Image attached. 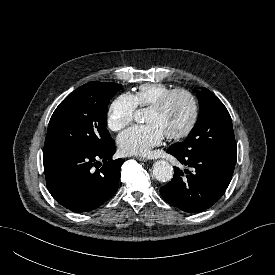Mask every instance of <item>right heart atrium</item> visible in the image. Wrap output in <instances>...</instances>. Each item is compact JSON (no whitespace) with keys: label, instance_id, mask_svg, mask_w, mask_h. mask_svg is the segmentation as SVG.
Wrapping results in <instances>:
<instances>
[{"label":"right heart atrium","instance_id":"d8ad5b80","mask_svg":"<svg viewBox=\"0 0 275 275\" xmlns=\"http://www.w3.org/2000/svg\"><path fill=\"white\" fill-rule=\"evenodd\" d=\"M136 104L130 94L116 97L107 112V125L110 130L118 132L129 125L135 116Z\"/></svg>","mask_w":275,"mask_h":275}]
</instances>
